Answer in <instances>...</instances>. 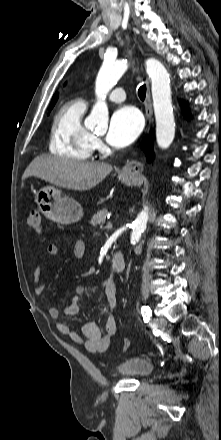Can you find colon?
<instances>
[{"mask_svg": "<svg viewBox=\"0 0 221 440\" xmlns=\"http://www.w3.org/2000/svg\"><path fill=\"white\" fill-rule=\"evenodd\" d=\"M27 224L32 231L36 233H41L42 232L41 214L36 210L31 211L28 215ZM128 347H129V340L127 338H124L122 341V348L125 351L128 349Z\"/></svg>", "mask_w": 221, "mask_h": 440, "instance_id": "colon-1", "label": "colon"}]
</instances>
